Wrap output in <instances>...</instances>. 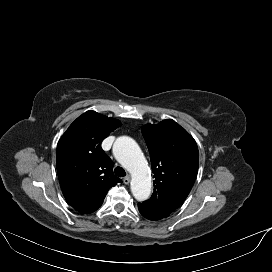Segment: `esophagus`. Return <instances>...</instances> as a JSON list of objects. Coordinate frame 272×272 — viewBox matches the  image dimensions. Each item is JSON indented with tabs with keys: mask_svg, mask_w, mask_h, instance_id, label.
Wrapping results in <instances>:
<instances>
[{
	"mask_svg": "<svg viewBox=\"0 0 272 272\" xmlns=\"http://www.w3.org/2000/svg\"><path fill=\"white\" fill-rule=\"evenodd\" d=\"M130 176L129 175H127L124 179H123V182L125 183V184H129L130 183Z\"/></svg>",
	"mask_w": 272,
	"mask_h": 272,
	"instance_id": "esophagus-1",
	"label": "esophagus"
}]
</instances>
